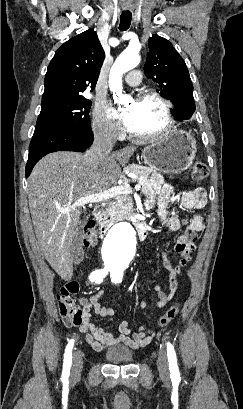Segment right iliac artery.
I'll return each instance as SVG.
<instances>
[{
    "mask_svg": "<svg viewBox=\"0 0 243 409\" xmlns=\"http://www.w3.org/2000/svg\"><path fill=\"white\" fill-rule=\"evenodd\" d=\"M108 272H109V269L107 268H104L101 270H95L90 274L89 279L91 282L101 283L103 281V278L108 274ZM73 345H74V340L72 339L69 341L65 349L62 380H67L70 374Z\"/></svg>",
    "mask_w": 243,
    "mask_h": 409,
    "instance_id": "1",
    "label": "right iliac artery"
}]
</instances>
